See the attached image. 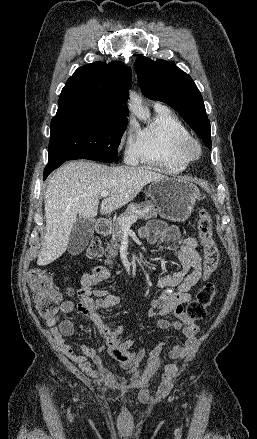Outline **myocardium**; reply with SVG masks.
<instances>
[{
    "mask_svg": "<svg viewBox=\"0 0 257 439\" xmlns=\"http://www.w3.org/2000/svg\"><path fill=\"white\" fill-rule=\"evenodd\" d=\"M176 149L177 152L188 162L195 161L202 155V146L200 142L192 136L180 139L177 143Z\"/></svg>",
    "mask_w": 257,
    "mask_h": 439,
    "instance_id": "f54148a6",
    "label": "myocardium"
}]
</instances>
